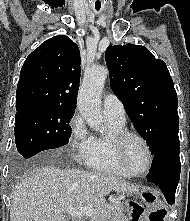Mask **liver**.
<instances>
[{
    "instance_id": "liver-1",
    "label": "liver",
    "mask_w": 190,
    "mask_h": 221,
    "mask_svg": "<svg viewBox=\"0 0 190 221\" xmlns=\"http://www.w3.org/2000/svg\"><path fill=\"white\" fill-rule=\"evenodd\" d=\"M111 191L138 192L139 188L107 174L53 166L33 168L13 191L10 221H69L65 216L68 207L97 209Z\"/></svg>"
}]
</instances>
